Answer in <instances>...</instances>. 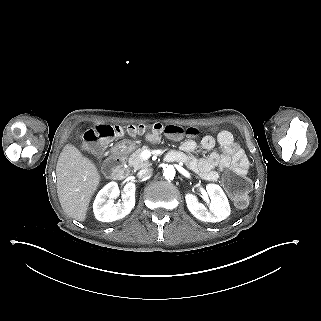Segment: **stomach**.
Returning <instances> with one entry per match:
<instances>
[{"instance_id":"1","label":"stomach","mask_w":321,"mask_h":321,"mask_svg":"<svg viewBox=\"0 0 321 321\" xmlns=\"http://www.w3.org/2000/svg\"><path fill=\"white\" fill-rule=\"evenodd\" d=\"M123 144H126V145H129V143L127 141H120L116 144V147L119 148V146L123 145Z\"/></svg>"}]
</instances>
